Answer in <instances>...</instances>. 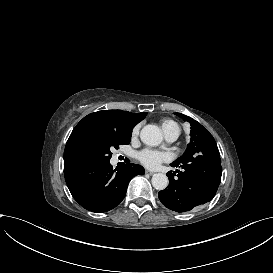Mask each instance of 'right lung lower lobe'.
Wrapping results in <instances>:
<instances>
[{"instance_id": "1", "label": "right lung lower lobe", "mask_w": 273, "mask_h": 273, "mask_svg": "<svg viewBox=\"0 0 273 273\" xmlns=\"http://www.w3.org/2000/svg\"><path fill=\"white\" fill-rule=\"evenodd\" d=\"M137 164H126L113 170L110 162L78 168L65 176L74 199L85 209L103 213L115 208L125 197L130 180L144 174Z\"/></svg>"}]
</instances>
